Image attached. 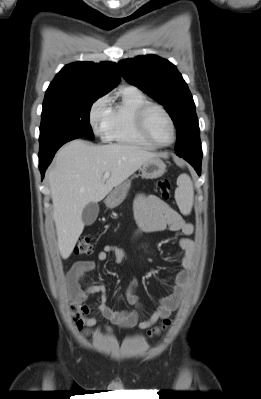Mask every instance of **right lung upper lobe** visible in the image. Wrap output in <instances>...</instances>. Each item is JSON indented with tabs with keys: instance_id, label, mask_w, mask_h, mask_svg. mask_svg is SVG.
I'll return each mask as SVG.
<instances>
[{
	"instance_id": "right-lung-upper-lobe-1",
	"label": "right lung upper lobe",
	"mask_w": 261,
	"mask_h": 399,
	"mask_svg": "<svg viewBox=\"0 0 261 399\" xmlns=\"http://www.w3.org/2000/svg\"><path fill=\"white\" fill-rule=\"evenodd\" d=\"M119 80L115 63L75 62L62 68L50 83L45 97H101L115 88Z\"/></svg>"
}]
</instances>
